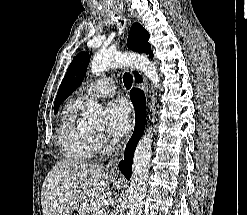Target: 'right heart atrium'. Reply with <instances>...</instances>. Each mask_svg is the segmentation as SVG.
Returning a JSON list of instances; mask_svg holds the SVG:
<instances>
[{
    "mask_svg": "<svg viewBox=\"0 0 247 215\" xmlns=\"http://www.w3.org/2000/svg\"><path fill=\"white\" fill-rule=\"evenodd\" d=\"M95 144L97 147V150L100 152H103L107 148V139L102 134H97L94 136Z\"/></svg>",
    "mask_w": 247,
    "mask_h": 215,
    "instance_id": "right-heart-atrium-1",
    "label": "right heart atrium"
}]
</instances>
